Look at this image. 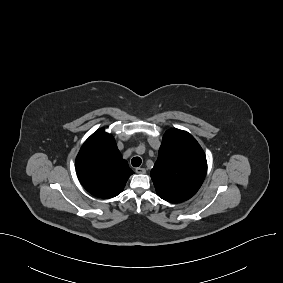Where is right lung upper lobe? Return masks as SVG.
Segmentation results:
<instances>
[{"mask_svg": "<svg viewBox=\"0 0 283 283\" xmlns=\"http://www.w3.org/2000/svg\"><path fill=\"white\" fill-rule=\"evenodd\" d=\"M80 183L92 195L112 198L120 194L133 171L122 159L115 140L97 130L81 147L76 158Z\"/></svg>", "mask_w": 283, "mask_h": 283, "instance_id": "obj_1", "label": "right lung upper lobe"}]
</instances>
